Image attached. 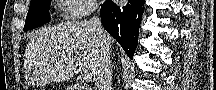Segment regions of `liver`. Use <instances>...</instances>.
Masks as SVG:
<instances>
[{
    "instance_id": "liver-1",
    "label": "liver",
    "mask_w": 216,
    "mask_h": 90,
    "mask_svg": "<svg viewBox=\"0 0 216 90\" xmlns=\"http://www.w3.org/2000/svg\"><path fill=\"white\" fill-rule=\"evenodd\" d=\"M90 22L69 20L59 26H46L33 34L25 52L26 64H39L42 74L51 80H71L79 72L92 76L99 60V38ZM114 48V38L109 40Z\"/></svg>"
}]
</instances>
